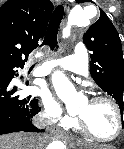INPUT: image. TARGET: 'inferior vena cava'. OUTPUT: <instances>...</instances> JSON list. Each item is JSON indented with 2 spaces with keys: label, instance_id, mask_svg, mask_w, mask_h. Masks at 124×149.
Returning <instances> with one entry per match:
<instances>
[{
  "label": "inferior vena cava",
  "instance_id": "1",
  "mask_svg": "<svg viewBox=\"0 0 124 149\" xmlns=\"http://www.w3.org/2000/svg\"><path fill=\"white\" fill-rule=\"evenodd\" d=\"M33 124L36 125L38 128H41L43 126V116L39 114L35 118H33ZM39 139L40 136H30V146H28V149H37Z\"/></svg>",
  "mask_w": 124,
  "mask_h": 149
}]
</instances>
